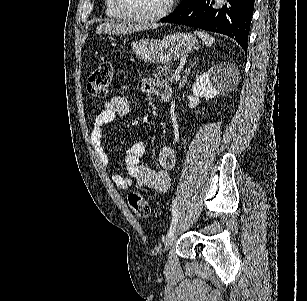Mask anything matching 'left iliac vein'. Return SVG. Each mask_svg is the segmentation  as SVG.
Wrapping results in <instances>:
<instances>
[{"mask_svg":"<svg viewBox=\"0 0 307 301\" xmlns=\"http://www.w3.org/2000/svg\"><path fill=\"white\" fill-rule=\"evenodd\" d=\"M176 242V233L169 235L164 243L165 251L169 250Z\"/></svg>","mask_w":307,"mask_h":301,"instance_id":"obj_1","label":"left iliac vein"}]
</instances>
